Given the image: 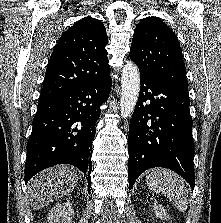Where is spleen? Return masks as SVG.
I'll use <instances>...</instances> for the list:
<instances>
[{
	"label": "spleen",
	"mask_w": 221,
	"mask_h": 223,
	"mask_svg": "<svg viewBox=\"0 0 221 223\" xmlns=\"http://www.w3.org/2000/svg\"><path fill=\"white\" fill-rule=\"evenodd\" d=\"M150 189L172 200L178 210L184 212L188 206V193L184 180L165 169H155L146 178Z\"/></svg>",
	"instance_id": "spleen-1"
}]
</instances>
